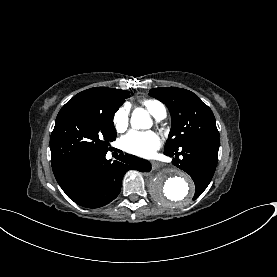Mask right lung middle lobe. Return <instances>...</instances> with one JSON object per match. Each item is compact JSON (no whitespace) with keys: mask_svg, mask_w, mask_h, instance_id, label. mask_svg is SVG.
<instances>
[{"mask_svg":"<svg viewBox=\"0 0 277 277\" xmlns=\"http://www.w3.org/2000/svg\"><path fill=\"white\" fill-rule=\"evenodd\" d=\"M115 112L82 103L65 104L50 138L52 166L72 157L107 151L109 141L116 138Z\"/></svg>","mask_w":277,"mask_h":277,"instance_id":"obj_1","label":"right lung middle lobe"}]
</instances>
